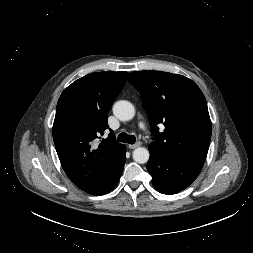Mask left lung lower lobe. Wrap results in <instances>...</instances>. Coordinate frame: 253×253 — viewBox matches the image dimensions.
<instances>
[{
    "label": "left lung lower lobe",
    "mask_w": 253,
    "mask_h": 253,
    "mask_svg": "<svg viewBox=\"0 0 253 253\" xmlns=\"http://www.w3.org/2000/svg\"><path fill=\"white\" fill-rule=\"evenodd\" d=\"M150 158L147 170L152 176L153 186L162 194L172 195L187 188L200 171L180 165L149 146Z\"/></svg>",
    "instance_id": "left-lung-lower-lobe-1"
}]
</instances>
